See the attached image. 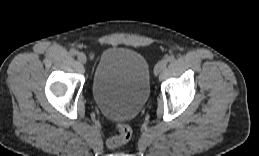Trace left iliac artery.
I'll list each match as a JSON object with an SVG mask.
<instances>
[{"instance_id": "left-iliac-artery-1", "label": "left iliac artery", "mask_w": 259, "mask_h": 156, "mask_svg": "<svg viewBox=\"0 0 259 156\" xmlns=\"http://www.w3.org/2000/svg\"><path fill=\"white\" fill-rule=\"evenodd\" d=\"M174 60H175V56L174 55H170V56L166 57V61L167 62H172Z\"/></svg>"}]
</instances>
